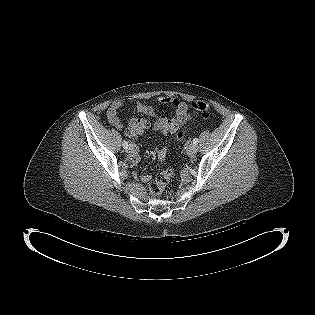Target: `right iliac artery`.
Wrapping results in <instances>:
<instances>
[{
    "instance_id": "82829eb1",
    "label": "right iliac artery",
    "mask_w": 315,
    "mask_h": 315,
    "mask_svg": "<svg viewBox=\"0 0 315 315\" xmlns=\"http://www.w3.org/2000/svg\"><path fill=\"white\" fill-rule=\"evenodd\" d=\"M122 145L126 149L128 147V142L124 140Z\"/></svg>"
}]
</instances>
